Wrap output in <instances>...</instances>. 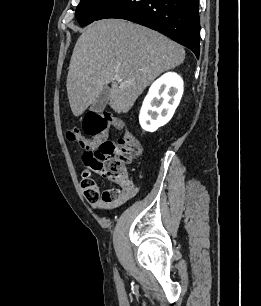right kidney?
<instances>
[{"label":"right kidney","instance_id":"1","mask_svg":"<svg viewBox=\"0 0 261 306\" xmlns=\"http://www.w3.org/2000/svg\"><path fill=\"white\" fill-rule=\"evenodd\" d=\"M183 85L174 72L165 73L151 85L139 115L144 130L154 132L170 121L181 100Z\"/></svg>","mask_w":261,"mask_h":306}]
</instances>
